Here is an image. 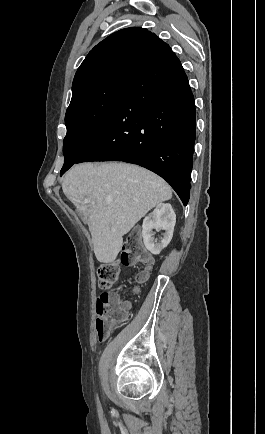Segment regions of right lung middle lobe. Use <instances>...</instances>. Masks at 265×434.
Listing matches in <instances>:
<instances>
[{"label":"right lung middle lobe","mask_w":265,"mask_h":434,"mask_svg":"<svg viewBox=\"0 0 265 434\" xmlns=\"http://www.w3.org/2000/svg\"><path fill=\"white\" fill-rule=\"evenodd\" d=\"M135 75L117 74L72 88L66 111L61 175L92 146L113 117Z\"/></svg>","instance_id":"right-lung-middle-lobe-1"}]
</instances>
